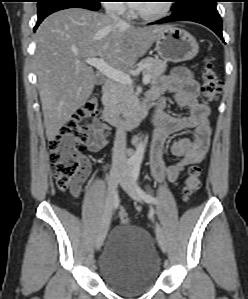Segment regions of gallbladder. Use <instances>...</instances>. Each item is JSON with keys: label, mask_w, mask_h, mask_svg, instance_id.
Listing matches in <instances>:
<instances>
[{"label": "gallbladder", "mask_w": 248, "mask_h": 299, "mask_svg": "<svg viewBox=\"0 0 248 299\" xmlns=\"http://www.w3.org/2000/svg\"><path fill=\"white\" fill-rule=\"evenodd\" d=\"M96 83H97V84H102V83H103L102 78H101V77H97V78H96Z\"/></svg>", "instance_id": "gallbladder-1"}]
</instances>
